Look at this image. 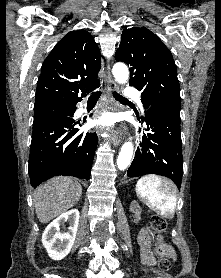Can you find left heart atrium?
Segmentation results:
<instances>
[{
  "label": "left heart atrium",
  "instance_id": "39dd6f15",
  "mask_svg": "<svg viewBox=\"0 0 221 278\" xmlns=\"http://www.w3.org/2000/svg\"><path fill=\"white\" fill-rule=\"evenodd\" d=\"M98 124H100V125H108V124H110V120L105 118V119L99 121Z\"/></svg>",
  "mask_w": 221,
  "mask_h": 278
}]
</instances>
